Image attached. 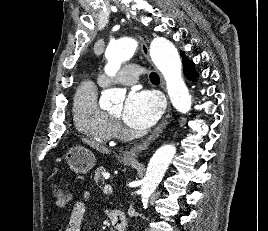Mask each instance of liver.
Returning a JSON list of instances; mask_svg holds the SVG:
<instances>
[{"label":"liver","mask_w":268,"mask_h":231,"mask_svg":"<svg viewBox=\"0 0 268 231\" xmlns=\"http://www.w3.org/2000/svg\"><path fill=\"white\" fill-rule=\"evenodd\" d=\"M84 142L100 152H107V149L105 147L100 146L99 144L95 143L94 141H89V140L84 139Z\"/></svg>","instance_id":"obj_1"}]
</instances>
